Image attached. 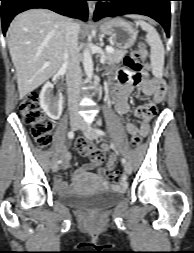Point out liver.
Wrapping results in <instances>:
<instances>
[{"label": "liver", "instance_id": "liver-1", "mask_svg": "<svg viewBox=\"0 0 194 253\" xmlns=\"http://www.w3.org/2000/svg\"><path fill=\"white\" fill-rule=\"evenodd\" d=\"M131 18H142L130 15ZM67 18L47 9L17 15L7 31L20 99L52 77L63 62ZM80 30V24L77 23ZM49 63V65H46Z\"/></svg>", "mask_w": 194, "mask_h": 253}]
</instances>
